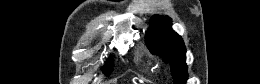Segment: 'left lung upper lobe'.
Returning a JSON list of instances; mask_svg holds the SVG:
<instances>
[{"instance_id":"1","label":"left lung upper lobe","mask_w":260,"mask_h":84,"mask_svg":"<svg viewBox=\"0 0 260 84\" xmlns=\"http://www.w3.org/2000/svg\"><path fill=\"white\" fill-rule=\"evenodd\" d=\"M171 25L169 18L154 16L146 34V44L153 54L161 55L171 65L174 83L184 84L188 79L186 49L181 37L171 30Z\"/></svg>"}]
</instances>
